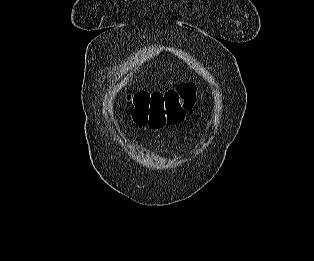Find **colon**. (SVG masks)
Wrapping results in <instances>:
<instances>
[{"instance_id":"obj_1","label":"colon","mask_w":314,"mask_h":261,"mask_svg":"<svg viewBox=\"0 0 314 261\" xmlns=\"http://www.w3.org/2000/svg\"><path fill=\"white\" fill-rule=\"evenodd\" d=\"M128 100L133 104L132 117L136 124L158 129L179 123L195 106V86L186 82L164 93L139 91Z\"/></svg>"}]
</instances>
